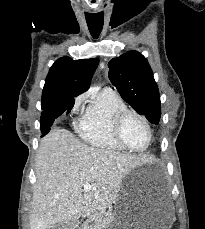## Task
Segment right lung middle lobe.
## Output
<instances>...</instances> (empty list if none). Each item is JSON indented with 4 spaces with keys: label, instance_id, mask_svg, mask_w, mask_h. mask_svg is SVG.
Here are the masks:
<instances>
[{
    "label": "right lung middle lobe",
    "instance_id": "obj_1",
    "mask_svg": "<svg viewBox=\"0 0 205 229\" xmlns=\"http://www.w3.org/2000/svg\"><path fill=\"white\" fill-rule=\"evenodd\" d=\"M50 106H51V105H50ZM48 107H49V106H48ZM48 107H44L43 104H42V107H41V108L45 110V109L48 108Z\"/></svg>",
    "mask_w": 205,
    "mask_h": 229
}]
</instances>
